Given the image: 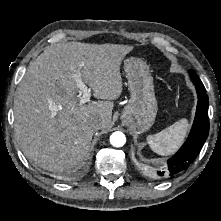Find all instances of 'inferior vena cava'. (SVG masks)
Here are the masks:
<instances>
[{
	"label": "inferior vena cava",
	"mask_w": 221,
	"mask_h": 221,
	"mask_svg": "<svg viewBox=\"0 0 221 221\" xmlns=\"http://www.w3.org/2000/svg\"><path fill=\"white\" fill-rule=\"evenodd\" d=\"M88 125H89V128L93 132H95V131H97L101 128L102 121H101L100 118L92 119V120L89 121Z\"/></svg>",
	"instance_id": "602c4592"
}]
</instances>
